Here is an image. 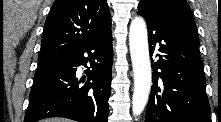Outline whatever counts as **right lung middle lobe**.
Listing matches in <instances>:
<instances>
[{
  "label": "right lung middle lobe",
  "mask_w": 221,
  "mask_h": 122,
  "mask_svg": "<svg viewBox=\"0 0 221 122\" xmlns=\"http://www.w3.org/2000/svg\"><path fill=\"white\" fill-rule=\"evenodd\" d=\"M50 61H51V60H50ZM47 62H49V61H39V62H38V66L44 65V64H46Z\"/></svg>",
  "instance_id": "1"
}]
</instances>
